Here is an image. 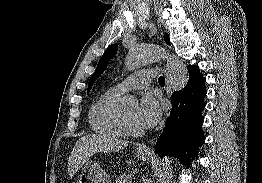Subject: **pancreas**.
<instances>
[{
    "label": "pancreas",
    "mask_w": 262,
    "mask_h": 183,
    "mask_svg": "<svg viewBox=\"0 0 262 183\" xmlns=\"http://www.w3.org/2000/svg\"><path fill=\"white\" fill-rule=\"evenodd\" d=\"M131 180V175H121L115 180V183H132Z\"/></svg>",
    "instance_id": "cf45deb5"
}]
</instances>
